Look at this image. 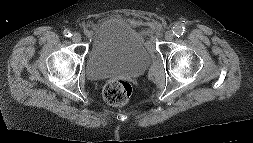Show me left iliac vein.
I'll return each instance as SVG.
<instances>
[{
	"mask_svg": "<svg viewBox=\"0 0 253 143\" xmlns=\"http://www.w3.org/2000/svg\"><path fill=\"white\" fill-rule=\"evenodd\" d=\"M173 38H174V33L172 31H167L165 33V40L171 41L173 40Z\"/></svg>",
	"mask_w": 253,
	"mask_h": 143,
	"instance_id": "1",
	"label": "left iliac vein"
}]
</instances>
